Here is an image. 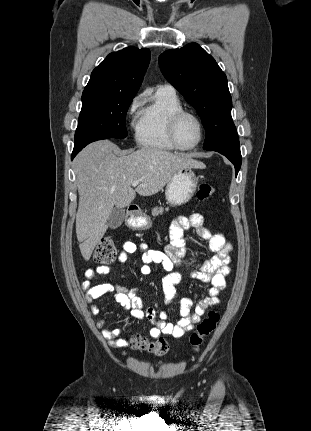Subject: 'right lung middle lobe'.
<instances>
[{"label": "right lung middle lobe", "mask_w": 311, "mask_h": 431, "mask_svg": "<svg viewBox=\"0 0 311 431\" xmlns=\"http://www.w3.org/2000/svg\"><path fill=\"white\" fill-rule=\"evenodd\" d=\"M134 96L107 92L83 93L75 142L92 137L125 138V116Z\"/></svg>", "instance_id": "obj_1"}]
</instances>
